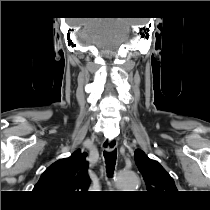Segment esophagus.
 Returning a JSON list of instances; mask_svg holds the SVG:
<instances>
[{
    "instance_id": "esophagus-1",
    "label": "esophagus",
    "mask_w": 210,
    "mask_h": 210,
    "mask_svg": "<svg viewBox=\"0 0 210 210\" xmlns=\"http://www.w3.org/2000/svg\"><path fill=\"white\" fill-rule=\"evenodd\" d=\"M117 146V140L116 139H105L103 142V149L110 152L113 151Z\"/></svg>"
}]
</instances>
